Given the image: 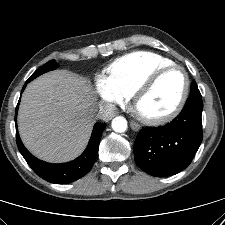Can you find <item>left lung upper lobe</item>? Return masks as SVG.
I'll list each match as a JSON object with an SVG mask.
<instances>
[{
	"mask_svg": "<svg viewBox=\"0 0 225 225\" xmlns=\"http://www.w3.org/2000/svg\"><path fill=\"white\" fill-rule=\"evenodd\" d=\"M190 95H200V91H199L195 81L192 82V84H191Z\"/></svg>",
	"mask_w": 225,
	"mask_h": 225,
	"instance_id": "1",
	"label": "left lung upper lobe"
}]
</instances>
